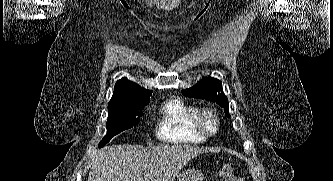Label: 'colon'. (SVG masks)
<instances>
[{
  "label": "colon",
  "instance_id": "obj_1",
  "mask_svg": "<svg viewBox=\"0 0 333 181\" xmlns=\"http://www.w3.org/2000/svg\"><path fill=\"white\" fill-rule=\"evenodd\" d=\"M221 175L225 181H240L233 166L231 164H225L221 169Z\"/></svg>",
  "mask_w": 333,
  "mask_h": 181
}]
</instances>
